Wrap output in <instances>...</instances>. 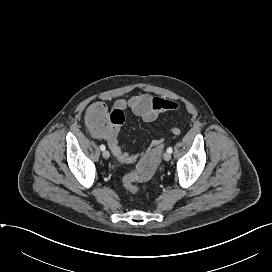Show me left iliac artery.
Instances as JSON below:
<instances>
[{
  "mask_svg": "<svg viewBox=\"0 0 272 272\" xmlns=\"http://www.w3.org/2000/svg\"><path fill=\"white\" fill-rule=\"evenodd\" d=\"M172 151H173L172 147L167 148V152L172 153Z\"/></svg>",
  "mask_w": 272,
  "mask_h": 272,
  "instance_id": "left-iliac-artery-1",
  "label": "left iliac artery"
}]
</instances>
